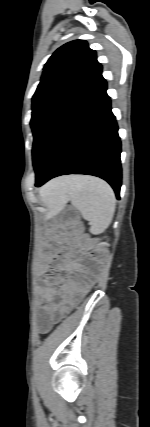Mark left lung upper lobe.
Segmentation results:
<instances>
[{
    "label": "left lung upper lobe",
    "mask_w": 150,
    "mask_h": 427,
    "mask_svg": "<svg viewBox=\"0 0 150 427\" xmlns=\"http://www.w3.org/2000/svg\"><path fill=\"white\" fill-rule=\"evenodd\" d=\"M102 72L86 41L75 40L58 48L44 66L32 99L33 134L49 118L82 93Z\"/></svg>",
    "instance_id": "5c2ea615"
}]
</instances>
